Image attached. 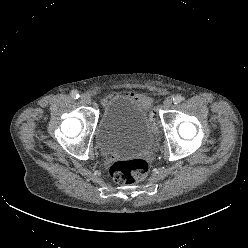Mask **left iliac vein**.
<instances>
[{"instance_id": "obj_1", "label": "left iliac vein", "mask_w": 248, "mask_h": 248, "mask_svg": "<svg viewBox=\"0 0 248 248\" xmlns=\"http://www.w3.org/2000/svg\"><path fill=\"white\" fill-rule=\"evenodd\" d=\"M172 100L171 99H166L164 102H163V108L164 109H170L172 107Z\"/></svg>"}]
</instances>
